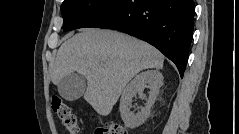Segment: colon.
<instances>
[{"instance_id": "1", "label": "colon", "mask_w": 239, "mask_h": 134, "mask_svg": "<svg viewBox=\"0 0 239 134\" xmlns=\"http://www.w3.org/2000/svg\"><path fill=\"white\" fill-rule=\"evenodd\" d=\"M51 106L53 111L56 112L59 118L63 121L68 132L70 134H77L78 121L71 107L57 95L52 97ZM95 134H127V131L122 125L112 122L99 125L95 130Z\"/></svg>"}]
</instances>
